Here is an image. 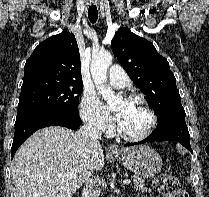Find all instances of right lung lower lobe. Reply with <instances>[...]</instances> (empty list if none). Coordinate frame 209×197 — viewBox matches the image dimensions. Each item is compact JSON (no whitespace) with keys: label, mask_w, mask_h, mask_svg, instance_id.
<instances>
[{"label":"right lung lower lobe","mask_w":209,"mask_h":197,"mask_svg":"<svg viewBox=\"0 0 209 197\" xmlns=\"http://www.w3.org/2000/svg\"><path fill=\"white\" fill-rule=\"evenodd\" d=\"M81 123L78 114L62 111H44L16 119L11 156L14 157L19 146L38 129L48 126L77 129Z\"/></svg>","instance_id":"1"}]
</instances>
